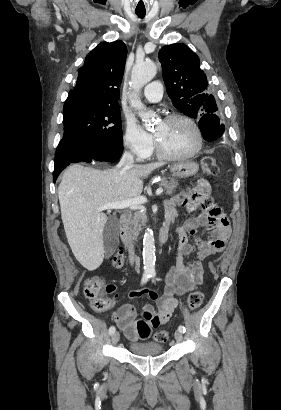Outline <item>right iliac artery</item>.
<instances>
[{"mask_svg": "<svg viewBox=\"0 0 281 410\" xmlns=\"http://www.w3.org/2000/svg\"><path fill=\"white\" fill-rule=\"evenodd\" d=\"M149 278H150V275H149V274H144L143 277H142V280H141V284L146 283ZM115 331H116V329H115L114 326H111V327L109 328V334H110V335L114 334Z\"/></svg>", "mask_w": 281, "mask_h": 410, "instance_id": "82829eb1", "label": "right iliac artery"}]
</instances>
